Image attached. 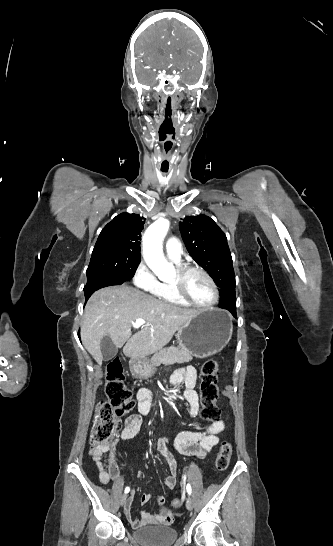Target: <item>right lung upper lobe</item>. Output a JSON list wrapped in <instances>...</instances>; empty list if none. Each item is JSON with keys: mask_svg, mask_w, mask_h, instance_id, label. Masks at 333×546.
Here are the masks:
<instances>
[{"mask_svg": "<svg viewBox=\"0 0 333 546\" xmlns=\"http://www.w3.org/2000/svg\"><path fill=\"white\" fill-rule=\"evenodd\" d=\"M144 220L134 213L124 212L117 215L101 231L93 252H124L140 262V240Z\"/></svg>", "mask_w": 333, "mask_h": 546, "instance_id": "cb5924a9", "label": "right lung upper lobe"}]
</instances>
